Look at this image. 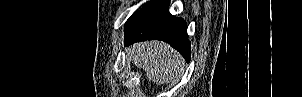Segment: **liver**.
Returning a JSON list of instances; mask_svg holds the SVG:
<instances>
[{"label":"liver","instance_id":"liver-1","mask_svg":"<svg viewBox=\"0 0 302 97\" xmlns=\"http://www.w3.org/2000/svg\"><path fill=\"white\" fill-rule=\"evenodd\" d=\"M129 52V59L145 71L149 82L164 85L182 72V56L167 43L153 40L141 42L132 45Z\"/></svg>","mask_w":302,"mask_h":97}]
</instances>
